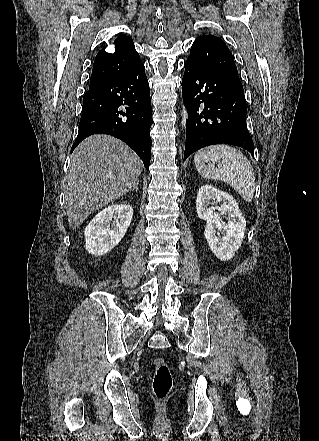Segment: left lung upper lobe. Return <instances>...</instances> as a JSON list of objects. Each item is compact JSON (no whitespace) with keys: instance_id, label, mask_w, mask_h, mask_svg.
Instances as JSON below:
<instances>
[{"instance_id":"1","label":"left lung upper lobe","mask_w":319,"mask_h":441,"mask_svg":"<svg viewBox=\"0 0 319 441\" xmlns=\"http://www.w3.org/2000/svg\"><path fill=\"white\" fill-rule=\"evenodd\" d=\"M188 59L228 76L243 87L234 57L221 38L214 35H204L196 38Z\"/></svg>"}]
</instances>
